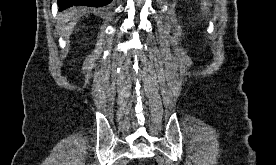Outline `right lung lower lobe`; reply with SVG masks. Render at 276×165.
Listing matches in <instances>:
<instances>
[{
	"label": "right lung lower lobe",
	"instance_id": "1",
	"mask_svg": "<svg viewBox=\"0 0 276 165\" xmlns=\"http://www.w3.org/2000/svg\"><path fill=\"white\" fill-rule=\"evenodd\" d=\"M112 0H58L59 10L62 11L71 6H91L100 7L109 4Z\"/></svg>",
	"mask_w": 276,
	"mask_h": 165
}]
</instances>
